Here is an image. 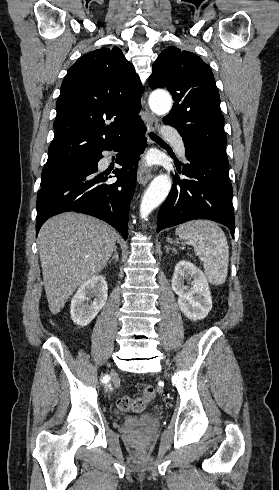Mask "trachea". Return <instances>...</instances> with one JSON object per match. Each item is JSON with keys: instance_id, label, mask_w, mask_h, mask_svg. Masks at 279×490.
Returning <instances> with one entry per match:
<instances>
[{"instance_id": "trachea-1", "label": "trachea", "mask_w": 279, "mask_h": 490, "mask_svg": "<svg viewBox=\"0 0 279 490\" xmlns=\"http://www.w3.org/2000/svg\"><path fill=\"white\" fill-rule=\"evenodd\" d=\"M149 136H150V138H152V140H155L158 143H164L163 140L161 138L157 137V135H155L154 133H150Z\"/></svg>"}]
</instances>
